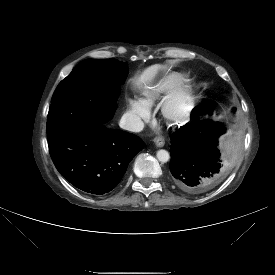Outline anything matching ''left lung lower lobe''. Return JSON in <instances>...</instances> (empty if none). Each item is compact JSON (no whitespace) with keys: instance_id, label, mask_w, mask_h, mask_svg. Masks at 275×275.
<instances>
[{"instance_id":"obj_1","label":"left lung lower lobe","mask_w":275,"mask_h":275,"mask_svg":"<svg viewBox=\"0 0 275 275\" xmlns=\"http://www.w3.org/2000/svg\"><path fill=\"white\" fill-rule=\"evenodd\" d=\"M198 115L194 109V120L171 135V178L187 193L207 189L223 172L218 139L225 133V127L211 120L199 121Z\"/></svg>"}]
</instances>
